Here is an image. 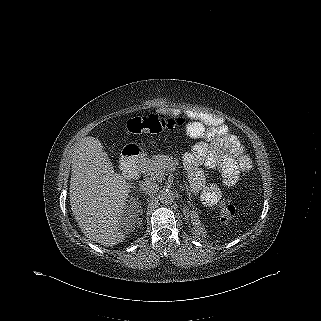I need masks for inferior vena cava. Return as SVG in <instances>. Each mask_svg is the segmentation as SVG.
Returning a JSON list of instances; mask_svg holds the SVG:
<instances>
[{
	"label": "inferior vena cava",
	"instance_id": "inferior-vena-cava-1",
	"mask_svg": "<svg viewBox=\"0 0 321 321\" xmlns=\"http://www.w3.org/2000/svg\"><path fill=\"white\" fill-rule=\"evenodd\" d=\"M139 187H140L139 191L141 193H144L149 196L154 195L159 189L158 185L152 182V180H150L149 178L144 179V181H142L139 184Z\"/></svg>",
	"mask_w": 321,
	"mask_h": 321
}]
</instances>
